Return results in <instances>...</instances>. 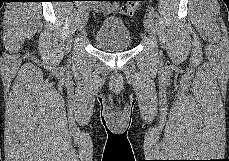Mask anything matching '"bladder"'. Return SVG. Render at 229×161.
Returning <instances> with one entry per match:
<instances>
[{
    "label": "bladder",
    "mask_w": 229,
    "mask_h": 161,
    "mask_svg": "<svg viewBox=\"0 0 229 161\" xmlns=\"http://www.w3.org/2000/svg\"><path fill=\"white\" fill-rule=\"evenodd\" d=\"M93 42L101 50L116 52L129 49L133 39L130 30L120 18L106 17L100 21L93 35Z\"/></svg>",
    "instance_id": "bladder-1"
}]
</instances>
